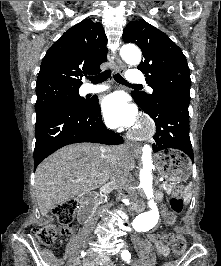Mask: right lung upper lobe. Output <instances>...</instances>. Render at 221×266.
<instances>
[{"instance_id": "1", "label": "right lung upper lobe", "mask_w": 221, "mask_h": 266, "mask_svg": "<svg viewBox=\"0 0 221 266\" xmlns=\"http://www.w3.org/2000/svg\"><path fill=\"white\" fill-rule=\"evenodd\" d=\"M107 37L101 23L84 19L68 29L42 60L36 87L64 85L80 87L86 74L101 72L107 60Z\"/></svg>"}]
</instances>
